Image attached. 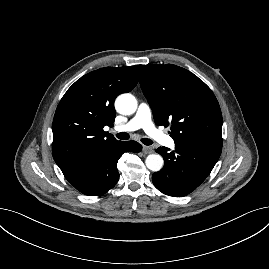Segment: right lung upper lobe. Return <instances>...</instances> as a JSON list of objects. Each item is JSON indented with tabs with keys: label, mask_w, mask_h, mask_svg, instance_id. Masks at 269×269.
<instances>
[{
	"label": "right lung upper lobe",
	"mask_w": 269,
	"mask_h": 269,
	"mask_svg": "<svg viewBox=\"0 0 269 269\" xmlns=\"http://www.w3.org/2000/svg\"><path fill=\"white\" fill-rule=\"evenodd\" d=\"M141 67L101 68L84 75L67 90L52 125V154L63 173L120 142L103 128L113 125L114 100L136 86Z\"/></svg>",
	"instance_id": "cb5924a9"
}]
</instances>
